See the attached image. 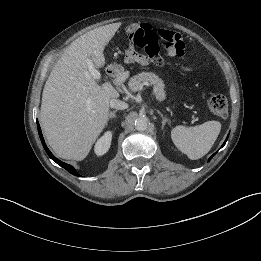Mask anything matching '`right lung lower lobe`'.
Returning <instances> with one entry per match:
<instances>
[{
  "label": "right lung lower lobe",
  "instance_id": "1",
  "mask_svg": "<svg viewBox=\"0 0 261 261\" xmlns=\"http://www.w3.org/2000/svg\"><path fill=\"white\" fill-rule=\"evenodd\" d=\"M37 127H38V132H39V136H40V139H41V142L43 144V147L45 149V151L47 152V154L49 155V157L55 161L58 165H60L61 167L65 168L68 172H70L71 174L75 175V176H80L76 171L75 169L71 166V165H68L60 160H58L56 157H54V155L50 152V150L47 148L45 142H44V139H43V136H42V133H41V129H40V126H39V123L37 122Z\"/></svg>",
  "mask_w": 261,
  "mask_h": 261
}]
</instances>
